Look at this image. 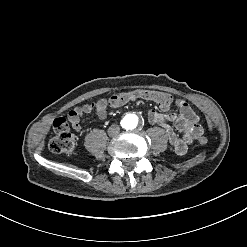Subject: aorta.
Wrapping results in <instances>:
<instances>
[{"mask_svg": "<svg viewBox=\"0 0 247 247\" xmlns=\"http://www.w3.org/2000/svg\"><path fill=\"white\" fill-rule=\"evenodd\" d=\"M138 118L136 116H133L131 118H127L124 121V126L127 129H133L137 126Z\"/></svg>", "mask_w": 247, "mask_h": 247, "instance_id": "762f6f07", "label": "aorta"}]
</instances>
